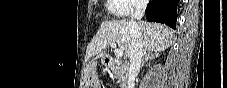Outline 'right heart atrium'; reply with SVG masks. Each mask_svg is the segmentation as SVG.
<instances>
[{
  "mask_svg": "<svg viewBox=\"0 0 227 88\" xmlns=\"http://www.w3.org/2000/svg\"><path fill=\"white\" fill-rule=\"evenodd\" d=\"M126 5V14L131 15L141 10L146 5V0H123Z\"/></svg>",
  "mask_w": 227,
  "mask_h": 88,
  "instance_id": "obj_1",
  "label": "right heart atrium"
}]
</instances>
